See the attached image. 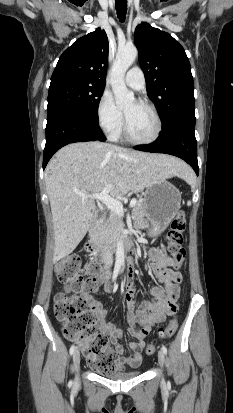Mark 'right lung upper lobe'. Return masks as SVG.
<instances>
[{"label":"right lung upper lobe","mask_w":233,"mask_h":413,"mask_svg":"<svg viewBox=\"0 0 233 413\" xmlns=\"http://www.w3.org/2000/svg\"><path fill=\"white\" fill-rule=\"evenodd\" d=\"M108 47L107 35L100 28L77 39L60 56L51 83L70 79L105 85Z\"/></svg>","instance_id":"obj_1"}]
</instances>
